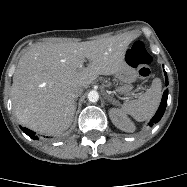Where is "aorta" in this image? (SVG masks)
Here are the masks:
<instances>
[{
	"label": "aorta",
	"instance_id": "1",
	"mask_svg": "<svg viewBox=\"0 0 187 187\" xmlns=\"http://www.w3.org/2000/svg\"><path fill=\"white\" fill-rule=\"evenodd\" d=\"M88 100L92 103H95L99 100V94L96 91H90L88 93Z\"/></svg>",
	"mask_w": 187,
	"mask_h": 187
}]
</instances>
